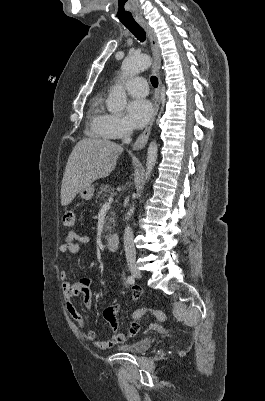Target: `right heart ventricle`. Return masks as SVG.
Masks as SVG:
<instances>
[{
    "label": "right heart ventricle",
    "mask_w": 265,
    "mask_h": 401,
    "mask_svg": "<svg viewBox=\"0 0 265 401\" xmlns=\"http://www.w3.org/2000/svg\"><path fill=\"white\" fill-rule=\"evenodd\" d=\"M87 114L90 116L89 128L94 136L106 142L126 138H117L109 131L106 125V119L109 114L106 111L103 93H95L90 97Z\"/></svg>",
    "instance_id": "right-heart-ventricle-1"
}]
</instances>
